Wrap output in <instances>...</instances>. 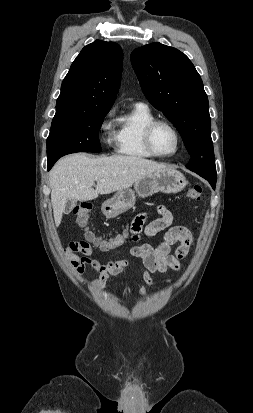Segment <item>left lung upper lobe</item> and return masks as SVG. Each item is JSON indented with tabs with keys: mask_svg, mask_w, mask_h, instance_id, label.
<instances>
[{
	"mask_svg": "<svg viewBox=\"0 0 253 413\" xmlns=\"http://www.w3.org/2000/svg\"><path fill=\"white\" fill-rule=\"evenodd\" d=\"M131 61L146 98L179 131L191 155L186 167L216 176L208 98L192 62L158 42L135 49Z\"/></svg>",
	"mask_w": 253,
	"mask_h": 413,
	"instance_id": "obj_1",
	"label": "left lung upper lobe"
}]
</instances>
